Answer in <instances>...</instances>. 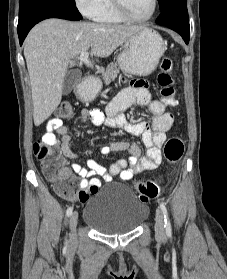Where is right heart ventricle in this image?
I'll return each instance as SVG.
<instances>
[{
	"label": "right heart ventricle",
	"mask_w": 227,
	"mask_h": 279,
	"mask_svg": "<svg viewBox=\"0 0 227 279\" xmlns=\"http://www.w3.org/2000/svg\"><path fill=\"white\" fill-rule=\"evenodd\" d=\"M94 18L97 21L109 23H120L127 21L116 12L111 0H105L103 6L96 13Z\"/></svg>",
	"instance_id": "1"
}]
</instances>
